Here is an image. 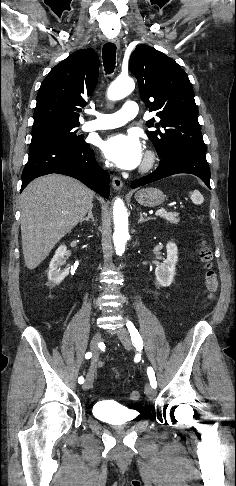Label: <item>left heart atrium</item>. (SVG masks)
<instances>
[{
    "label": "left heart atrium",
    "mask_w": 236,
    "mask_h": 486,
    "mask_svg": "<svg viewBox=\"0 0 236 486\" xmlns=\"http://www.w3.org/2000/svg\"><path fill=\"white\" fill-rule=\"evenodd\" d=\"M100 147L104 156L122 169L136 168L143 158L142 144L133 133L111 135L102 141Z\"/></svg>",
    "instance_id": "1"
}]
</instances>
